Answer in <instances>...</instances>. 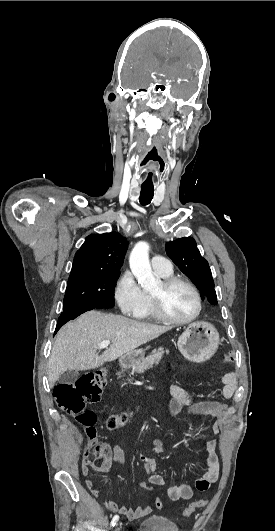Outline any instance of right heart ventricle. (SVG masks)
Here are the masks:
<instances>
[{
    "instance_id": "1",
    "label": "right heart ventricle",
    "mask_w": 275,
    "mask_h": 531,
    "mask_svg": "<svg viewBox=\"0 0 275 531\" xmlns=\"http://www.w3.org/2000/svg\"><path fill=\"white\" fill-rule=\"evenodd\" d=\"M160 275L163 276V277H166V276L171 275V273H168V274H161L160 273ZM138 318L147 319V320H151V319H156L157 318V315H156V313L154 311L151 295H148V305H147L145 311L141 315H139Z\"/></svg>"
}]
</instances>
